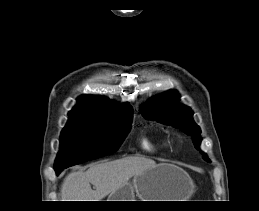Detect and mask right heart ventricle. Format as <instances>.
<instances>
[{
	"mask_svg": "<svg viewBox=\"0 0 259 211\" xmlns=\"http://www.w3.org/2000/svg\"><path fill=\"white\" fill-rule=\"evenodd\" d=\"M140 145L143 150L149 153H155L168 145L165 137L143 136L140 140Z\"/></svg>",
	"mask_w": 259,
	"mask_h": 211,
	"instance_id": "e07e8e85",
	"label": "right heart ventricle"
}]
</instances>
